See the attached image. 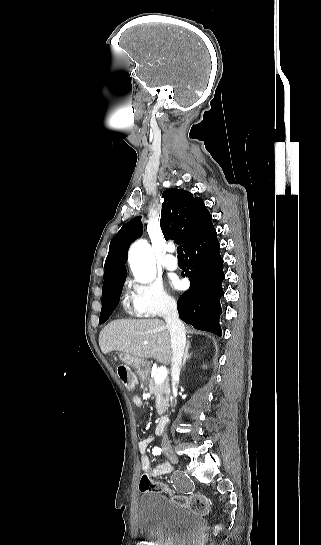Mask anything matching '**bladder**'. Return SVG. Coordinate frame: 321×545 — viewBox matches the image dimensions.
<instances>
[{"label": "bladder", "mask_w": 321, "mask_h": 545, "mask_svg": "<svg viewBox=\"0 0 321 545\" xmlns=\"http://www.w3.org/2000/svg\"><path fill=\"white\" fill-rule=\"evenodd\" d=\"M137 524L140 536L154 545H192L205 528L200 513L159 491L141 495Z\"/></svg>", "instance_id": "31cf9c89"}]
</instances>
